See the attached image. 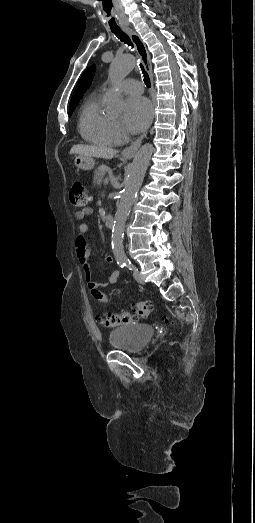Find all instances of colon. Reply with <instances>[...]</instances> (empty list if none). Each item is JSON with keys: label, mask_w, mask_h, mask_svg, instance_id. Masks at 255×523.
<instances>
[{"label": "colon", "mask_w": 255, "mask_h": 523, "mask_svg": "<svg viewBox=\"0 0 255 523\" xmlns=\"http://www.w3.org/2000/svg\"><path fill=\"white\" fill-rule=\"evenodd\" d=\"M69 199L71 204L77 209L83 210L86 207L88 203V197L84 189V186L81 183L75 182L72 185L69 192ZM91 292L93 297L98 302L106 303L108 301L107 296L97 288H91ZM152 310L153 306L151 302L146 300L139 301L135 304L134 312L123 311L118 314H105L101 318V323L108 328L116 327L122 324H127L139 321L141 319H145L150 315ZM166 321L168 320L166 319Z\"/></svg>", "instance_id": "obj_1"}]
</instances>
